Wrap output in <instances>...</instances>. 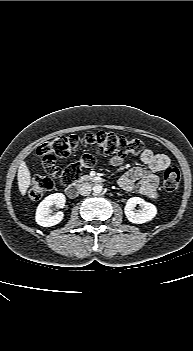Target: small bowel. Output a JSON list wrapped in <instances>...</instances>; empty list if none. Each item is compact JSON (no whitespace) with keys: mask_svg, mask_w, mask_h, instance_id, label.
<instances>
[{"mask_svg":"<svg viewBox=\"0 0 193 351\" xmlns=\"http://www.w3.org/2000/svg\"><path fill=\"white\" fill-rule=\"evenodd\" d=\"M142 167L135 166L125 172L118 180L119 186L127 191L134 192L150 199L158 197L159 178L157 172L169 164V157L165 154H156L146 149L141 154ZM112 166L119 167L124 163L122 156H112L109 159Z\"/></svg>","mask_w":193,"mask_h":351,"instance_id":"c3829d8e","label":"small bowel"}]
</instances>
